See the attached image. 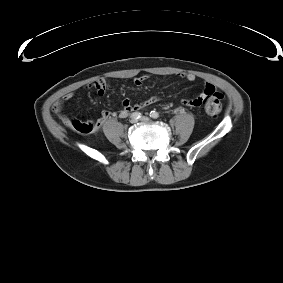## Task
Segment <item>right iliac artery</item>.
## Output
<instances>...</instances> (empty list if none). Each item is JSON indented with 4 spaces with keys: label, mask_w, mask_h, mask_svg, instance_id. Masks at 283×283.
I'll list each match as a JSON object with an SVG mask.
<instances>
[{
    "label": "right iliac artery",
    "mask_w": 283,
    "mask_h": 283,
    "mask_svg": "<svg viewBox=\"0 0 283 283\" xmlns=\"http://www.w3.org/2000/svg\"><path fill=\"white\" fill-rule=\"evenodd\" d=\"M125 117V116H124ZM131 117L135 118V119H139L141 118V113L140 112H134ZM123 118V117H122Z\"/></svg>",
    "instance_id": "82829eb1"
}]
</instances>
